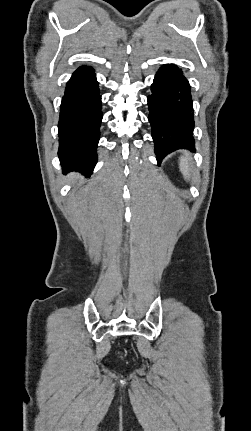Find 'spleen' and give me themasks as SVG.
<instances>
[{
    "mask_svg": "<svg viewBox=\"0 0 251 431\" xmlns=\"http://www.w3.org/2000/svg\"><path fill=\"white\" fill-rule=\"evenodd\" d=\"M190 156L189 154H185L180 158V164L179 168L181 173L183 174L184 178L189 180L191 173H190Z\"/></svg>",
    "mask_w": 251,
    "mask_h": 431,
    "instance_id": "1",
    "label": "spleen"
}]
</instances>
